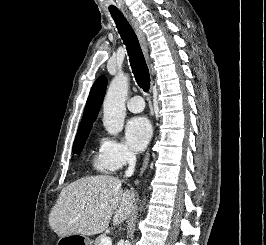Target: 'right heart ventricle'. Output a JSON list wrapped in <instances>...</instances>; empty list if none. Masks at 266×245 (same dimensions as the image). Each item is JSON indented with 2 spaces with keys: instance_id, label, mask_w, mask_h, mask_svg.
Wrapping results in <instances>:
<instances>
[{
  "instance_id": "e07e8e85",
  "label": "right heart ventricle",
  "mask_w": 266,
  "mask_h": 245,
  "mask_svg": "<svg viewBox=\"0 0 266 245\" xmlns=\"http://www.w3.org/2000/svg\"><path fill=\"white\" fill-rule=\"evenodd\" d=\"M93 166L99 170L102 173H108V169L104 165L100 155L98 154L97 156L94 157L93 159Z\"/></svg>"
}]
</instances>
